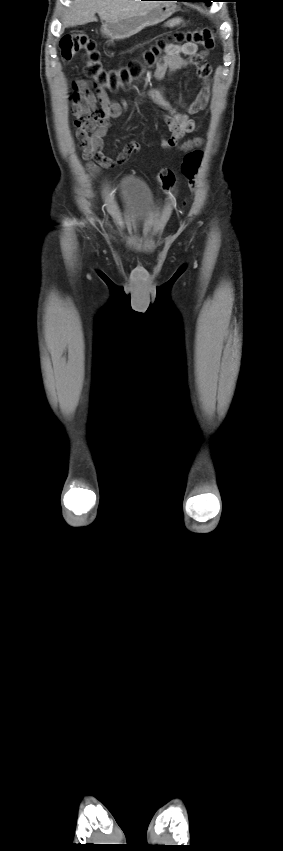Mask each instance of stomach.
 <instances>
[{
	"label": "stomach",
	"mask_w": 283,
	"mask_h": 851,
	"mask_svg": "<svg viewBox=\"0 0 283 851\" xmlns=\"http://www.w3.org/2000/svg\"><path fill=\"white\" fill-rule=\"evenodd\" d=\"M178 8L177 2H158L153 7L139 12L132 17L114 22H105L102 25V33L115 40L129 38L145 27L153 26L163 22L170 17Z\"/></svg>",
	"instance_id": "obj_1"
}]
</instances>
